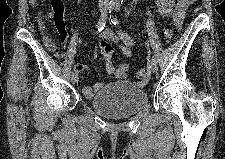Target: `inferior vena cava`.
Instances as JSON below:
<instances>
[{
    "instance_id": "inferior-vena-cava-1",
    "label": "inferior vena cava",
    "mask_w": 225,
    "mask_h": 159,
    "mask_svg": "<svg viewBox=\"0 0 225 159\" xmlns=\"http://www.w3.org/2000/svg\"><path fill=\"white\" fill-rule=\"evenodd\" d=\"M108 4L107 0H99V6H106Z\"/></svg>"
}]
</instances>
